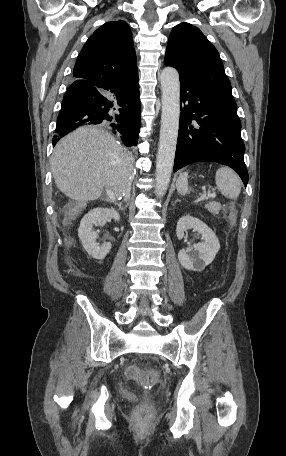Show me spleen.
I'll list each match as a JSON object with an SVG mask.
<instances>
[{
  "label": "spleen",
  "mask_w": 286,
  "mask_h": 456,
  "mask_svg": "<svg viewBox=\"0 0 286 456\" xmlns=\"http://www.w3.org/2000/svg\"><path fill=\"white\" fill-rule=\"evenodd\" d=\"M215 182L220 192L229 199H236L241 192L239 176L228 167H221L216 172ZM176 188L178 193L185 195L188 192V173L179 175Z\"/></svg>",
  "instance_id": "obj_1"
}]
</instances>
